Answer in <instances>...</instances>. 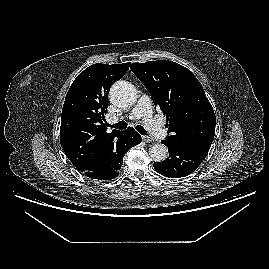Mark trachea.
Wrapping results in <instances>:
<instances>
[{"mask_svg": "<svg viewBox=\"0 0 269 269\" xmlns=\"http://www.w3.org/2000/svg\"><path fill=\"white\" fill-rule=\"evenodd\" d=\"M108 127L122 130L127 128V123L125 121H120L114 125L108 124ZM136 130L142 135H147V131L141 125H137Z\"/></svg>", "mask_w": 269, "mask_h": 269, "instance_id": "3493384b", "label": "trachea"}]
</instances>
